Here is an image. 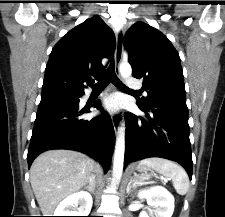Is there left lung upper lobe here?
<instances>
[{
	"mask_svg": "<svg viewBox=\"0 0 225 217\" xmlns=\"http://www.w3.org/2000/svg\"><path fill=\"white\" fill-rule=\"evenodd\" d=\"M124 44L132 76L143 78V90L148 94L140 100L141 105L186 101L180 57L164 34L138 21L125 34Z\"/></svg>",
	"mask_w": 225,
	"mask_h": 217,
	"instance_id": "5c2ea615",
	"label": "left lung upper lobe"
}]
</instances>
